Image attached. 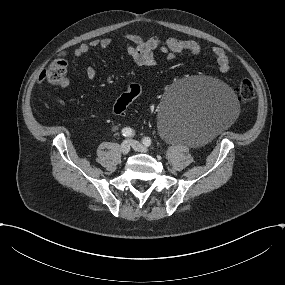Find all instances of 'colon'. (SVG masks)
Masks as SVG:
<instances>
[{
  "label": "colon",
  "instance_id": "5ec220e1",
  "mask_svg": "<svg viewBox=\"0 0 285 285\" xmlns=\"http://www.w3.org/2000/svg\"><path fill=\"white\" fill-rule=\"evenodd\" d=\"M67 63L62 57L57 58L49 66L46 76L48 80L53 84H58L66 74ZM141 86L137 83H130L127 86L126 91L117 99L114 104L113 111L116 115L122 114L128 105H130L140 94ZM237 96L241 102H248L254 99L256 95V89L254 84L248 80H242L237 87Z\"/></svg>",
  "mask_w": 285,
  "mask_h": 285
}]
</instances>
